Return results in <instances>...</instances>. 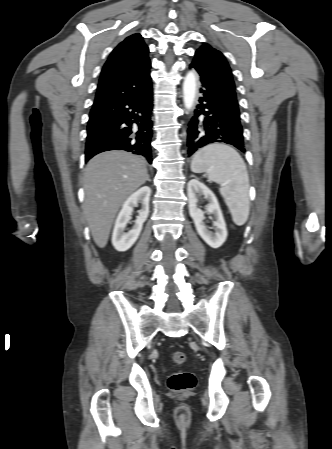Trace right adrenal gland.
Masks as SVG:
<instances>
[{"label":"right adrenal gland","instance_id":"right-adrenal-gland-1","mask_svg":"<svg viewBox=\"0 0 332 449\" xmlns=\"http://www.w3.org/2000/svg\"><path fill=\"white\" fill-rule=\"evenodd\" d=\"M147 181H150L149 175L147 176Z\"/></svg>","mask_w":332,"mask_h":449}]
</instances>
